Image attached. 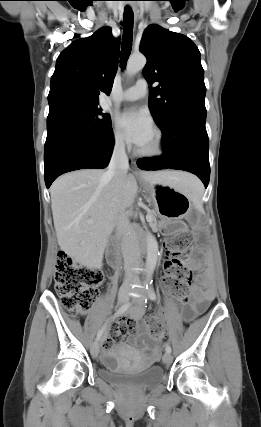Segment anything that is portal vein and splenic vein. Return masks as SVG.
<instances>
[{
  "label": "portal vein and splenic vein",
  "mask_w": 261,
  "mask_h": 427,
  "mask_svg": "<svg viewBox=\"0 0 261 427\" xmlns=\"http://www.w3.org/2000/svg\"><path fill=\"white\" fill-rule=\"evenodd\" d=\"M146 218L148 219V218H149V216L147 215V216H146ZM89 223H93V221H89Z\"/></svg>",
  "instance_id": "1"
}]
</instances>
